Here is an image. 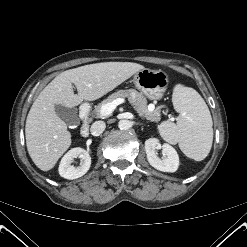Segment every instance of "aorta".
<instances>
[{
  "mask_svg": "<svg viewBox=\"0 0 247 247\" xmlns=\"http://www.w3.org/2000/svg\"><path fill=\"white\" fill-rule=\"evenodd\" d=\"M118 127L121 130H128L131 127V122L128 120H120L118 123Z\"/></svg>",
  "mask_w": 247,
  "mask_h": 247,
  "instance_id": "aorta-1",
  "label": "aorta"
}]
</instances>
